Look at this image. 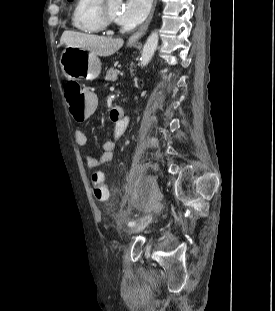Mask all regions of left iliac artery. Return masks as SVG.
<instances>
[{"label":"left iliac artery","instance_id":"1","mask_svg":"<svg viewBox=\"0 0 275 311\" xmlns=\"http://www.w3.org/2000/svg\"><path fill=\"white\" fill-rule=\"evenodd\" d=\"M136 225V222L135 221H130V222H128V226H130V227H133V226H135Z\"/></svg>","mask_w":275,"mask_h":311}]
</instances>
